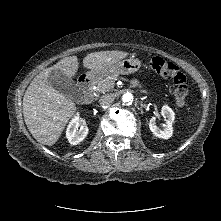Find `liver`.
Instances as JSON below:
<instances>
[{
	"instance_id": "liver-1",
	"label": "liver",
	"mask_w": 221,
	"mask_h": 221,
	"mask_svg": "<svg viewBox=\"0 0 221 221\" xmlns=\"http://www.w3.org/2000/svg\"><path fill=\"white\" fill-rule=\"evenodd\" d=\"M124 51H100L88 54L83 66L102 70L127 57ZM79 61L76 56L61 59L52 67L44 69L28 86L23 98V116L28 130L41 144L51 146L60 138L69 120L76 113V105L58 92L49 82L53 69H60L68 77L76 75Z\"/></svg>"
}]
</instances>
